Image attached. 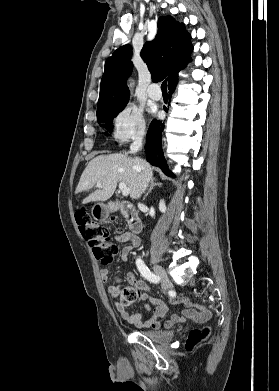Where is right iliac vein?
Listing matches in <instances>:
<instances>
[{"mask_svg": "<svg viewBox=\"0 0 279 391\" xmlns=\"http://www.w3.org/2000/svg\"><path fill=\"white\" fill-rule=\"evenodd\" d=\"M153 268H154L156 275L162 281L163 290L164 291L168 290L171 286V282H170V279H169L166 271L158 264H154Z\"/></svg>", "mask_w": 279, "mask_h": 391, "instance_id": "right-iliac-vein-1", "label": "right iliac vein"}]
</instances>
